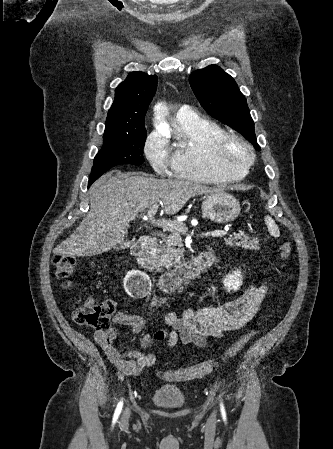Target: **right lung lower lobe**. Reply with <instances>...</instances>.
Segmentation results:
<instances>
[{
    "instance_id": "right-lung-lower-lobe-1",
    "label": "right lung lower lobe",
    "mask_w": 333,
    "mask_h": 449,
    "mask_svg": "<svg viewBox=\"0 0 333 449\" xmlns=\"http://www.w3.org/2000/svg\"><path fill=\"white\" fill-rule=\"evenodd\" d=\"M96 179L90 178L88 182V187L95 181Z\"/></svg>"
}]
</instances>
